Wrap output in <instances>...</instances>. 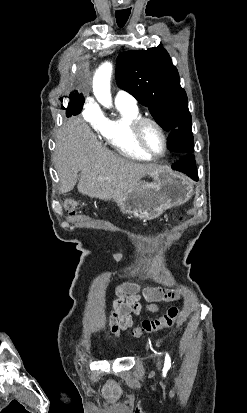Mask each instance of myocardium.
<instances>
[{
  "instance_id": "f54148a6",
  "label": "myocardium",
  "mask_w": 247,
  "mask_h": 413,
  "mask_svg": "<svg viewBox=\"0 0 247 413\" xmlns=\"http://www.w3.org/2000/svg\"><path fill=\"white\" fill-rule=\"evenodd\" d=\"M146 125L152 126L154 128H156L160 134L163 137V141H164V149L163 152L161 154H157L153 151H151L150 149H148L141 138V131L142 128ZM132 138L133 141L135 143V145L143 152L145 153L147 156H149L152 159H161L163 158L167 151H168V147H169V140H168V136L166 131L161 127L160 124H158L156 121L149 119V118H139L137 120V122L135 123L133 129H132Z\"/></svg>"
}]
</instances>
